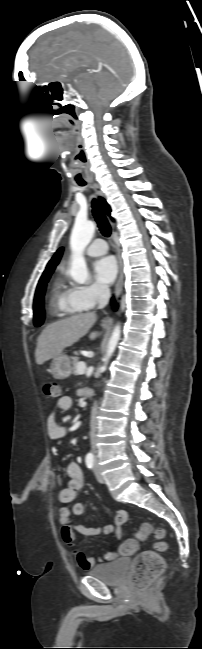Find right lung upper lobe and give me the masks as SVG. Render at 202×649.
<instances>
[{
  "label": "right lung upper lobe",
  "mask_w": 202,
  "mask_h": 649,
  "mask_svg": "<svg viewBox=\"0 0 202 649\" xmlns=\"http://www.w3.org/2000/svg\"><path fill=\"white\" fill-rule=\"evenodd\" d=\"M99 199L101 201V204H102L104 210L109 215L110 214L109 205L106 203V201L103 198L99 197ZM62 253H63V247L59 248L57 250V252L54 254V256L52 257V259L48 262V264L46 266V269L43 272V275L48 273V272H51V271L53 272L54 271L55 267L57 266V264L59 263V261L61 259Z\"/></svg>",
  "instance_id": "obj_1"
}]
</instances>
